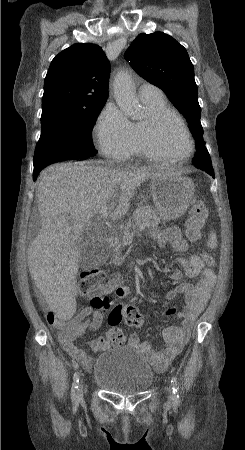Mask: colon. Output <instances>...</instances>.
Masks as SVG:
<instances>
[{
    "instance_id": "colon-1",
    "label": "colon",
    "mask_w": 245,
    "mask_h": 450,
    "mask_svg": "<svg viewBox=\"0 0 245 450\" xmlns=\"http://www.w3.org/2000/svg\"><path fill=\"white\" fill-rule=\"evenodd\" d=\"M208 217V208L204 202L198 197H192L190 200V209L188 217L184 224V231L186 239L195 244L201 239L203 225ZM204 261L209 266H214V259L208 255H203ZM116 279H107L106 274L99 268H89L81 274V288L83 291H90L95 294L93 298L92 307L98 310H104L107 315L109 325L115 327L121 321L132 328L139 329L144 325V318L138 309L130 304H114L109 305L107 297L102 298L99 295H107L114 289ZM173 309H168L166 314H173ZM49 324L61 331V335L65 340H71L78 337L82 333V328L79 323L71 321H64L57 316L49 321ZM109 339L114 344H120L124 341L122 332L113 328L108 332Z\"/></svg>"
}]
</instances>
